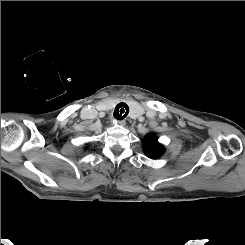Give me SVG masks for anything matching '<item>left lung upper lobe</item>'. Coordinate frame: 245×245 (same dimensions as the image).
<instances>
[{"label":"left lung upper lobe","instance_id":"5c2ea615","mask_svg":"<svg viewBox=\"0 0 245 245\" xmlns=\"http://www.w3.org/2000/svg\"><path fill=\"white\" fill-rule=\"evenodd\" d=\"M143 150L145 154L152 159L159 158L165 151L154 134H150L144 139Z\"/></svg>","mask_w":245,"mask_h":245}]
</instances>
